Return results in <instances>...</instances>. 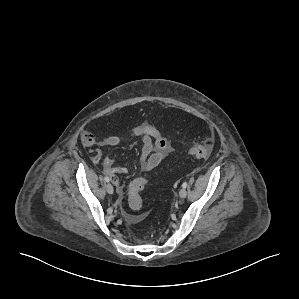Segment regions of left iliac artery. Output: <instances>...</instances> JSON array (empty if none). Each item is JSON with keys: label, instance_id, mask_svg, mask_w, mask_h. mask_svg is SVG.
<instances>
[{"label": "left iliac artery", "instance_id": "left-iliac-artery-1", "mask_svg": "<svg viewBox=\"0 0 299 299\" xmlns=\"http://www.w3.org/2000/svg\"><path fill=\"white\" fill-rule=\"evenodd\" d=\"M182 187H183V188H186V187H187V182H184V183L182 184Z\"/></svg>", "mask_w": 299, "mask_h": 299}]
</instances>
